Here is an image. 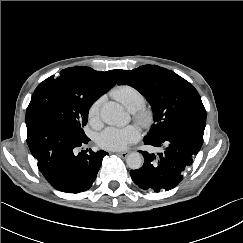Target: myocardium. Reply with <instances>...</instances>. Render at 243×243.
<instances>
[{
	"instance_id": "obj_1",
	"label": "myocardium",
	"mask_w": 243,
	"mask_h": 243,
	"mask_svg": "<svg viewBox=\"0 0 243 243\" xmlns=\"http://www.w3.org/2000/svg\"><path fill=\"white\" fill-rule=\"evenodd\" d=\"M135 120L143 127L147 128L153 122V111L146 105H141L133 111Z\"/></svg>"
}]
</instances>
